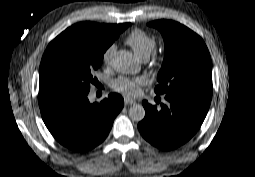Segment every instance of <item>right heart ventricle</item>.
I'll return each instance as SVG.
<instances>
[{
	"instance_id": "e07e8e85",
	"label": "right heart ventricle",
	"mask_w": 255,
	"mask_h": 177,
	"mask_svg": "<svg viewBox=\"0 0 255 177\" xmlns=\"http://www.w3.org/2000/svg\"><path fill=\"white\" fill-rule=\"evenodd\" d=\"M126 43L133 50L136 57L142 61L147 60L157 46L156 39L140 29H135L126 38Z\"/></svg>"
}]
</instances>
